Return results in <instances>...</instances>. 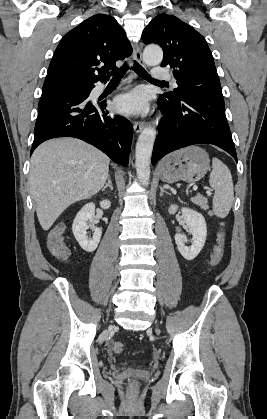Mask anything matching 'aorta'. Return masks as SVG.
<instances>
[{"instance_id": "1", "label": "aorta", "mask_w": 267, "mask_h": 419, "mask_svg": "<svg viewBox=\"0 0 267 419\" xmlns=\"http://www.w3.org/2000/svg\"><path fill=\"white\" fill-rule=\"evenodd\" d=\"M143 59L147 65H158L162 62L163 51L158 46H147L143 53ZM155 138L156 129L152 126H148L143 129L136 144L135 167L139 182L143 186L149 185L150 160Z\"/></svg>"}]
</instances>
